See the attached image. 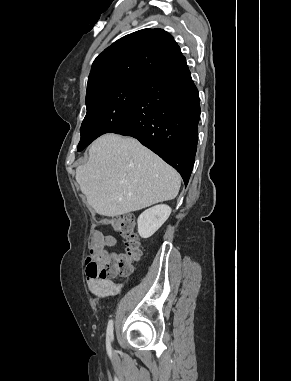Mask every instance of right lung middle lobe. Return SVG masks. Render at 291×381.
Segmentation results:
<instances>
[{
	"label": "right lung middle lobe",
	"mask_w": 291,
	"mask_h": 381,
	"mask_svg": "<svg viewBox=\"0 0 291 381\" xmlns=\"http://www.w3.org/2000/svg\"><path fill=\"white\" fill-rule=\"evenodd\" d=\"M142 82L141 79L125 81L86 97L87 114L81 125L77 151L127 122Z\"/></svg>",
	"instance_id": "dd1d6c3e"
}]
</instances>
